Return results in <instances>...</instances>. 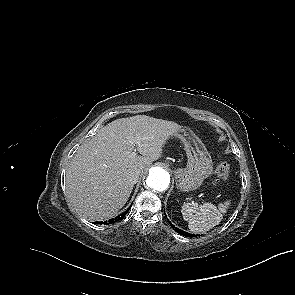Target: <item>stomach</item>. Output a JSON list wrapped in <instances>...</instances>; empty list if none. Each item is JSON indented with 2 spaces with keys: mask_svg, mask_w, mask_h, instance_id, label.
Here are the masks:
<instances>
[{
  "mask_svg": "<svg viewBox=\"0 0 295 295\" xmlns=\"http://www.w3.org/2000/svg\"><path fill=\"white\" fill-rule=\"evenodd\" d=\"M174 135L184 142L188 158L186 168H177L174 172L177 189L182 192L194 191L213 171L211 156L193 133L181 129Z\"/></svg>",
  "mask_w": 295,
  "mask_h": 295,
  "instance_id": "stomach-1",
  "label": "stomach"
}]
</instances>
